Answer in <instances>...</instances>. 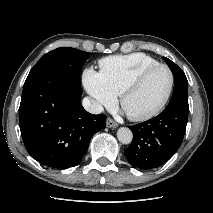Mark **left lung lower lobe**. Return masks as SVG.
Wrapping results in <instances>:
<instances>
[{
    "mask_svg": "<svg viewBox=\"0 0 213 213\" xmlns=\"http://www.w3.org/2000/svg\"><path fill=\"white\" fill-rule=\"evenodd\" d=\"M188 120V106H168L155 118L129 126L133 142L124 151L133 167L152 169L164 164L180 147Z\"/></svg>",
    "mask_w": 213,
    "mask_h": 213,
    "instance_id": "0a47b994",
    "label": "left lung lower lobe"
}]
</instances>
